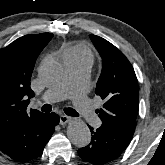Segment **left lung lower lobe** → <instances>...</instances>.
Returning <instances> with one entry per match:
<instances>
[{
  "label": "left lung lower lobe",
  "mask_w": 165,
  "mask_h": 165,
  "mask_svg": "<svg viewBox=\"0 0 165 165\" xmlns=\"http://www.w3.org/2000/svg\"><path fill=\"white\" fill-rule=\"evenodd\" d=\"M92 139L86 147L78 150V155L91 164H104L118 158L131 141L127 136L112 127L101 125L96 131L89 126Z\"/></svg>",
  "instance_id": "1"
}]
</instances>
